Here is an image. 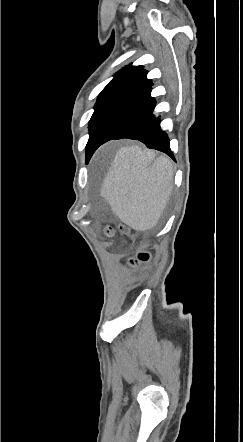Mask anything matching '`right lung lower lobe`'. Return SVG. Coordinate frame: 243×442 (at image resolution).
Segmentation results:
<instances>
[{
    "instance_id": "right-lung-lower-lobe-1",
    "label": "right lung lower lobe",
    "mask_w": 243,
    "mask_h": 442,
    "mask_svg": "<svg viewBox=\"0 0 243 442\" xmlns=\"http://www.w3.org/2000/svg\"><path fill=\"white\" fill-rule=\"evenodd\" d=\"M153 83L124 97L102 120L86 147V160L103 143L112 139H135L174 159L169 138L160 128V117L153 113L156 101L151 97Z\"/></svg>"
}]
</instances>
